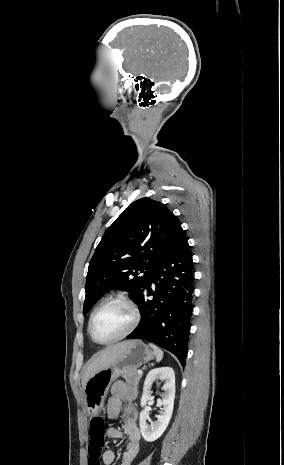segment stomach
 Wrapping results in <instances>:
<instances>
[{
  "label": "stomach",
  "mask_w": 284,
  "mask_h": 465,
  "mask_svg": "<svg viewBox=\"0 0 284 465\" xmlns=\"http://www.w3.org/2000/svg\"><path fill=\"white\" fill-rule=\"evenodd\" d=\"M154 359V353L142 341H130L126 351L117 361L90 377L84 389L86 411L91 417L101 413L108 391L115 379L126 371H136L141 365Z\"/></svg>",
  "instance_id": "1"
}]
</instances>
